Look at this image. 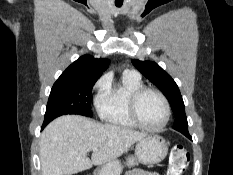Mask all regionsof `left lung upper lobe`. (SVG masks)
Returning a JSON list of instances; mask_svg holds the SVG:
<instances>
[{
  "instance_id": "left-lung-upper-lobe-1",
  "label": "left lung upper lobe",
  "mask_w": 233,
  "mask_h": 175,
  "mask_svg": "<svg viewBox=\"0 0 233 175\" xmlns=\"http://www.w3.org/2000/svg\"><path fill=\"white\" fill-rule=\"evenodd\" d=\"M132 63L147 79L155 84L169 100L175 115L173 129L189 137L184 102L175 81L155 62L132 60Z\"/></svg>"
}]
</instances>
